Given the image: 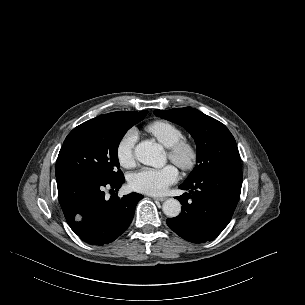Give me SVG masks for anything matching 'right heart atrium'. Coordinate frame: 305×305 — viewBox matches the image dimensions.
I'll use <instances>...</instances> for the list:
<instances>
[{"label": "right heart atrium", "instance_id": "right-heart-atrium-1", "mask_svg": "<svg viewBox=\"0 0 305 305\" xmlns=\"http://www.w3.org/2000/svg\"><path fill=\"white\" fill-rule=\"evenodd\" d=\"M137 133L129 130L119 141L116 154L119 164L124 168H130L135 164V145Z\"/></svg>", "mask_w": 305, "mask_h": 305}]
</instances>
